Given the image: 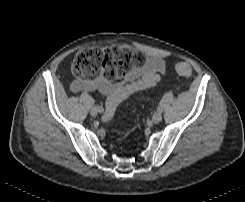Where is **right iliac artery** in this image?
Wrapping results in <instances>:
<instances>
[{
	"instance_id": "right-iliac-artery-1",
	"label": "right iliac artery",
	"mask_w": 245,
	"mask_h": 202,
	"mask_svg": "<svg viewBox=\"0 0 245 202\" xmlns=\"http://www.w3.org/2000/svg\"><path fill=\"white\" fill-rule=\"evenodd\" d=\"M98 107L101 109L100 113H102L104 111V108L102 106H98Z\"/></svg>"
}]
</instances>
